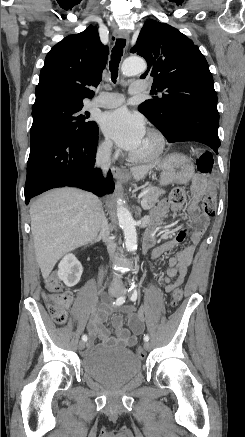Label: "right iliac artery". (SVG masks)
I'll return each mask as SVG.
<instances>
[{"mask_svg":"<svg viewBox=\"0 0 245 437\" xmlns=\"http://www.w3.org/2000/svg\"><path fill=\"white\" fill-rule=\"evenodd\" d=\"M124 302H125V297H124V296H121V297L117 298L115 302H113V305L120 306V305H122ZM87 339H88L87 335H83V336H82V340H83V341L86 342Z\"/></svg>","mask_w":245,"mask_h":437,"instance_id":"right-iliac-artery-1","label":"right iliac artery"}]
</instances>
